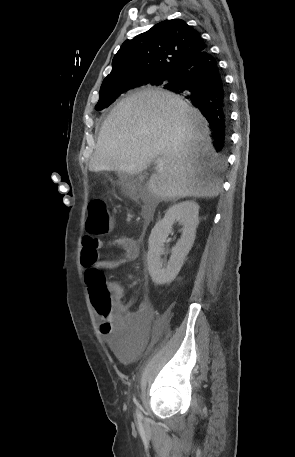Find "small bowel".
<instances>
[{
	"label": "small bowel",
	"instance_id": "small-bowel-1",
	"mask_svg": "<svg viewBox=\"0 0 295 457\" xmlns=\"http://www.w3.org/2000/svg\"><path fill=\"white\" fill-rule=\"evenodd\" d=\"M107 245L123 249L121 258L100 259L99 251ZM139 255L138 241L131 237L121 236L111 240H103L88 233L82 237L81 263L86 269L88 264H96L105 270L117 269L135 260ZM114 312L118 317L110 318L107 322L100 321V330L106 338H138L149 325L154 311L145 302L136 311L130 312L124 301V289L120 285L113 286Z\"/></svg>",
	"mask_w": 295,
	"mask_h": 457
}]
</instances>
